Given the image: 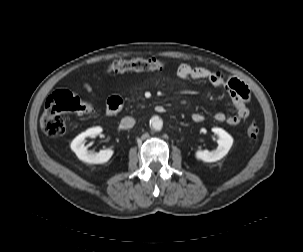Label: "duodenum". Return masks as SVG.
Instances as JSON below:
<instances>
[{"instance_id": "1", "label": "duodenum", "mask_w": 303, "mask_h": 252, "mask_svg": "<svg viewBox=\"0 0 303 252\" xmlns=\"http://www.w3.org/2000/svg\"><path fill=\"white\" fill-rule=\"evenodd\" d=\"M123 107V101L121 98H116L114 99L109 105H108V110H107V114L108 116H113L116 113H118L119 111H121ZM155 110L158 113H163L165 111V108L163 105H156L155 106Z\"/></svg>"}]
</instances>
